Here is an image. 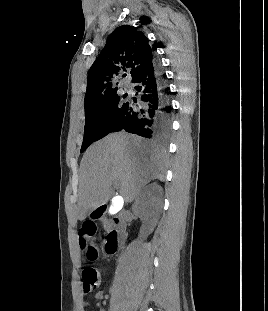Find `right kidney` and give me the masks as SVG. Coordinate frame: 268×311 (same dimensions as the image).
<instances>
[{
  "label": "right kidney",
  "instance_id": "obj_1",
  "mask_svg": "<svg viewBox=\"0 0 268 311\" xmlns=\"http://www.w3.org/2000/svg\"><path fill=\"white\" fill-rule=\"evenodd\" d=\"M163 189L157 183L145 186L135 199L133 212L143 217L140 233L147 237L153 232L163 208Z\"/></svg>",
  "mask_w": 268,
  "mask_h": 311
}]
</instances>
